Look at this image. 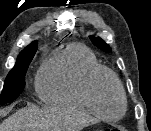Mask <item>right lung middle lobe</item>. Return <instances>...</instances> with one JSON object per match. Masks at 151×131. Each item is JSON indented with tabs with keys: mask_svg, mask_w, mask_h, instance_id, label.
<instances>
[{
	"mask_svg": "<svg viewBox=\"0 0 151 131\" xmlns=\"http://www.w3.org/2000/svg\"><path fill=\"white\" fill-rule=\"evenodd\" d=\"M37 45L26 47L19 55L15 66L6 77L3 91L0 95V105L12 102L23 91L25 74L37 51Z\"/></svg>",
	"mask_w": 151,
	"mask_h": 131,
	"instance_id": "right-lung-middle-lobe-1",
	"label": "right lung middle lobe"
}]
</instances>
